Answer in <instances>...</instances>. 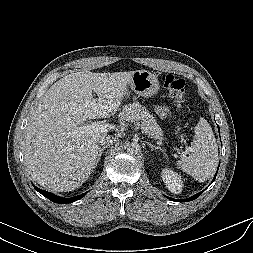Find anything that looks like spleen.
Instances as JSON below:
<instances>
[{
  "instance_id": "spleen-1",
  "label": "spleen",
  "mask_w": 253,
  "mask_h": 253,
  "mask_svg": "<svg viewBox=\"0 0 253 253\" xmlns=\"http://www.w3.org/2000/svg\"><path fill=\"white\" fill-rule=\"evenodd\" d=\"M218 163V146L209 123L201 118L195 126L191 153L177 161V168L199 182L208 180Z\"/></svg>"
}]
</instances>
